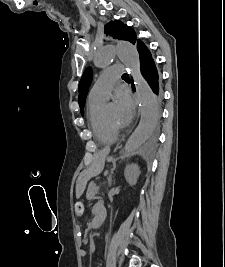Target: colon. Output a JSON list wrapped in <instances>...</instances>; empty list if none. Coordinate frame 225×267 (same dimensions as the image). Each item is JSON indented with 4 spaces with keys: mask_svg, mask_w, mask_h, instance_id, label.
Wrapping results in <instances>:
<instances>
[{
    "mask_svg": "<svg viewBox=\"0 0 225 267\" xmlns=\"http://www.w3.org/2000/svg\"><path fill=\"white\" fill-rule=\"evenodd\" d=\"M74 212H75V215L80 217L82 216L83 212H84V206L82 203L78 202L75 204V207H74Z\"/></svg>",
    "mask_w": 225,
    "mask_h": 267,
    "instance_id": "obj_1",
    "label": "colon"
}]
</instances>
